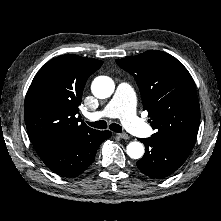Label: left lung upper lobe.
I'll use <instances>...</instances> for the list:
<instances>
[{
    "label": "left lung upper lobe",
    "mask_w": 221,
    "mask_h": 221,
    "mask_svg": "<svg viewBox=\"0 0 221 221\" xmlns=\"http://www.w3.org/2000/svg\"><path fill=\"white\" fill-rule=\"evenodd\" d=\"M138 84L144 110L156 133L193 146L197 137L200 107L194 81L187 69L162 51H146L117 59Z\"/></svg>",
    "instance_id": "obj_1"
}]
</instances>
